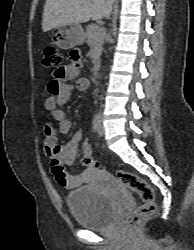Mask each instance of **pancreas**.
Here are the masks:
<instances>
[{
	"label": "pancreas",
	"instance_id": "1",
	"mask_svg": "<svg viewBox=\"0 0 194 250\" xmlns=\"http://www.w3.org/2000/svg\"><path fill=\"white\" fill-rule=\"evenodd\" d=\"M105 36V29L91 24L87 27L84 37L91 48L92 60L97 61L102 50V44Z\"/></svg>",
	"mask_w": 194,
	"mask_h": 250
}]
</instances>
